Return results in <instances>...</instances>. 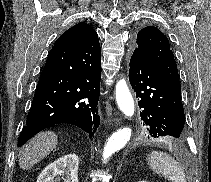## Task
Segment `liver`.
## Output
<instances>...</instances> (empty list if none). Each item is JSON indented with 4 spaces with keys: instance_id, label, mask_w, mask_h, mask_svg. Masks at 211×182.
I'll use <instances>...</instances> for the list:
<instances>
[{
    "instance_id": "obj_1",
    "label": "liver",
    "mask_w": 211,
    "mask_h": 182,
    "mask_svg": "<svg viewBox=\"0 0 211 182\" xmlns=\"http://www.w3.org/2000/svg\"><path fill=\"white\" fill-rule=\"evenodd\" d=\"M57 135L51 131L39 133L33 137L19 153V166L29 169L46 157L57 145Z\"/></svg>"
}]
</instances>
